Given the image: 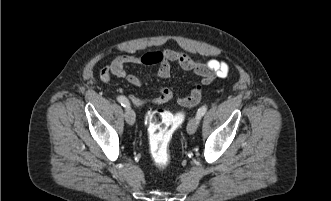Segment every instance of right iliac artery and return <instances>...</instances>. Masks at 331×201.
Returning a JSON list of instances; mask_svg holds the SVG:
<instances>
[{
    "instance_id": "82829eb1",
    "label": "right iliac artery",
    "mask_w": 331,
    "mask_h": 201,
    "mask_svg": "<svg viewBox=\"0 0 331 201\" xmlns=\"http://www.w3.org/2000/svg\"><path fill=\"white\" fill-rule=\"evenodd\" d=\"M117 100L123 107H130V103L125 96H118Z\"/></svg>"
}]
</instances>
